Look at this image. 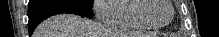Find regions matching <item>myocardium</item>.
<instances>
[{
	"mask_svg": "<svg viewBox=\"0 0 219 37\" xmlns=\"http://www.w3.org/2000/svg\"><path fill=\"white\" fill-rule=\"evenodd\" d=\"M168 5L170 6L171 8V16L169 18L168 21L166 22H163V23H156V22H153L151 21L148 17H147V12L151 9L152 7V4L150 3V0H139L138 2V6H137V9H136V13H137V16L139 17V19L141 21H143L146 25L150 26V27H153V28H162V27H165L167 25H169L174 16H175V9L173 7V4H172V1L170 0H166Z\"/></svg>",
	"mask_w": 219,
	"mask_h": 37,
	"instance_id": "1",
	"label": "myocardium"
}]
</instances>
